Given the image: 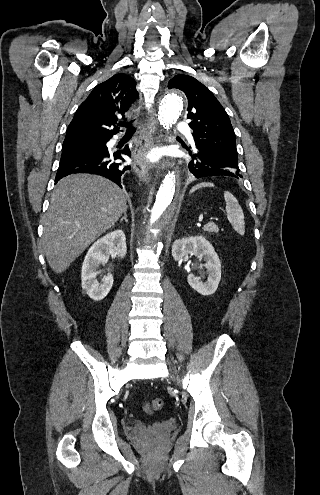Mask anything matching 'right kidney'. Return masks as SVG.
<instances>
[{
    "label": "right kidney",
    "instance_id": "obj_1",
    "mask_svg": "<svg viewBox=\"0 0 320 495\" xmlns=\"http://www.w3.org/2000/svg\"><path fill=\"white\" fill-rule=\"evenodd\" d=\"M126 237L122 230H116L98 239L88 250L81 271L82 289L95 300L104 299L113 285V275L108 273L103 277L102 283L97 281V268L100 264H106L109 255L116 254L119 257L126 255Z\"/></svg>",
    "mask_w": 320,
    "mask_h": 495
}]
</instances>
